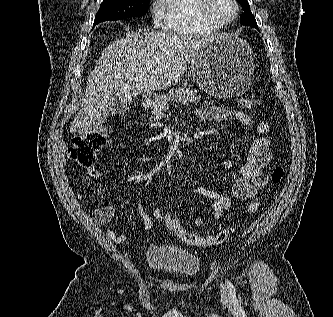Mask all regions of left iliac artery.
Listing matches in <instances>:
<instances>
[{"mask_svg":"<svg viewBox=\"0 0 333 317\" xmlns=\"http://www.w3.org/2000/svg\"><path fill=\"white\" fill-rule=\"evenodd\" d=\"M227 288H228L230 294H235V288H234L233 284L228 280H227Z\"/></svg>","mask_w":333,"mask_h":317,"instance_id":"44dca946","label":"left iliac artery"}]
</instances>
